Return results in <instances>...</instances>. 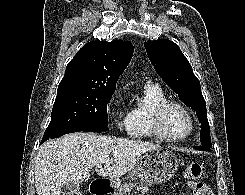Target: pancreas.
<instances>
[{
	"label": "pancreas",
	"instance_id": "obj_1",
	"mask_svg": "<svg viewBox=\"0 0 245 195\" xmlns=\"http://www.w3.org/2000/svg\"><path fill=\"white\" fill-rule=\"evenodd\" d=\"M149 186L143 182L122 184L113 195H139V192L146 193Z\"/></svg>",
	"mask_w": 245,
	"mask_h": 195
}]
</instances>
